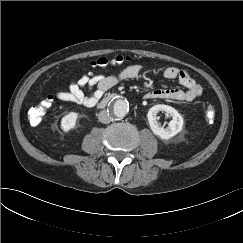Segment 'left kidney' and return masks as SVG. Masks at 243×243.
I'll return each instance as SVG.
<instances>
[{
	"instance_id": "5707ae66",
	"label": "left kidney",
	"mask_w": 243,
	"mask_h": 243,
	"mask_svg": "<svg viewBox=\"0 0 243 243\" xmlns=\"http://www.w3.org/2000/svg\"><path fill=\"white\" fill-rule=\"evenodd\" d=\"M166 112L172 117V120L168 123V127L164 128L160 126L157 121L158 112ZM148 122L152 132L161 139L168 140L178 134L183 128V118L180 113L171 106L158 104L151 107L147 113Z\"/></svg>"
}]
</instances>
